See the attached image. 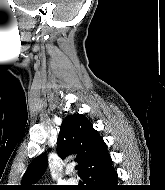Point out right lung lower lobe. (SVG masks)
<instances>
[{
    "label": "right lung lower lobe",
    "instance_id": "1",
    "mask_svg": "<svg viewBox=\"0 0 165 190\" xmlns=\"http://www.w3.org/2000/svg\"><path fill=\"white\" fill-rule=\"evenodd\" d=\"M80 177L86 183L84 190H122L121 186L117 185V173L112 167L109 155L93 168L84 171Z\"/></svg>",
    "mask_w": 165,
    "mask_h": 190
}]
</instances>
